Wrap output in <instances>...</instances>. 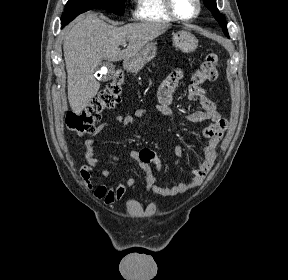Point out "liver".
<instances>
[{"label":"liver","mask_w":288,"mask_h":280,"mask_svg":"<svg viewBox=\"0 0 288 280\" xmlns=\"http://www.w3.org/2000/svg\"><path fill=\"white\" fill-rule=\"evenodd\" d=\"M168 27L166 23L151 22L117 27L107 24L95 13L80 16L63 43L72 111L77 115L82 113L96 96L100 83L95 79L94 71L102 60L115 62L134 56ZM126 41V49L120 50L119 45Z\"/></svg>","instance_id":"6515ba94"}]
</instances>
